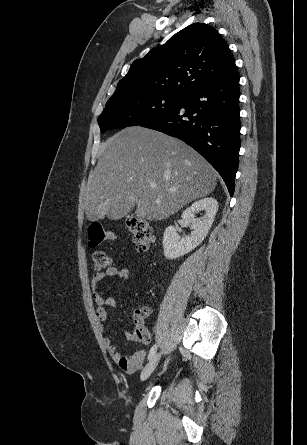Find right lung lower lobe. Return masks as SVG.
<instances>
[{
    "instance_id": "98d812e1",
    "label": "right lung lower lobe",
    "mask_w": 307,
    "mask_h": 445,
    "mask_svg": "<svg viewBox=\"0 0 307 445\" xmlns=\"http://www.w3.org/2000/svg\"><path fill=\"white\" fill-rule=\"evenodd\" d=\"M239 74L236 66L188 92L180 104L140 126L179 138L222 176L232 196L240 148Z\"/></svg>"
}]
</instances>
